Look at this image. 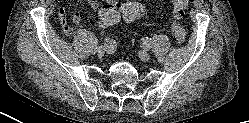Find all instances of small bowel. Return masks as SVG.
Masks as SVG:
<instances>
[{
	"mask_svg": "<svg viewBox=\"0 0 249 123\" xmlns=\"http://www.w3.org/2000/svg\"><path fill=\"white\" fill-rule=\"evenodd\" d=\"M84 1L87 2V4L94 10L98 9V7H99V1L98 0H84ZM104 2L105 3H113V2H116V1L115 0H104ZM58 18L60 20V23L62 25L63 30L66 33H70L71 32V27L66 22V14H65V11L63 9H60L58 11ZM81 21H82L81 15L78 12H75L72 15V22L74 24H79V23H81Z\"/></svg>",
	"mask_w": 249,
	"mask_h": 123,
	"instance_id": "small-bowel-1",
	"label": "small bowel"
}]
</instances>
